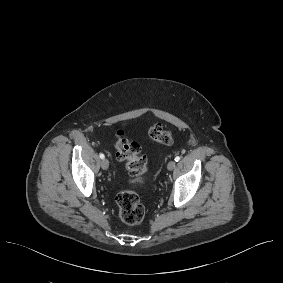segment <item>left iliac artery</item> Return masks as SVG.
<instances>
[{
	"label": "left iliac artery",
	"instance_id": "1",
	"mask_svg": "<svg viewBox=\"0 0 283 283\" xmlns=\"http://www.w3.org/2000/svg\"><path fill=\"white\" fill-rule=\"evenodd\" d=\"M176 162H178L179 160H180V157L179 156H177V157H175V159H174Z\"/></svg>",
	"mask_w": 283,
	"mask_h": 283
}]
</instances>
